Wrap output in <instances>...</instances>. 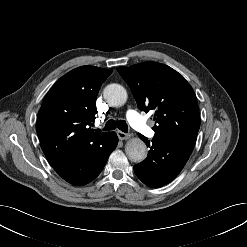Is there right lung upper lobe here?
Instances as JSON below:
<instances>
[{"instance_id":"cb5924a9","label":"right lung upper lobe","mask_w":247,"mask_h":247,"mask_svg":"<svg viewBox=\"0 0 247 247\" xmlns=\"http://www.w3.org/2000/svg\"><path fill=\"white\" fill-rule=\"evenodd\" d=\"M111 69L81 66L61 77L47 93L37 118L41 148L52 167L99 144L112 132L90 128L96 97Z\"/></svg>"}]
</instances>
